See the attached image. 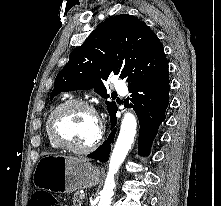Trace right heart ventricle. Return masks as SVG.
Returning a JSON list of instances; mask_svg holds the SVG:
<instances>
[{
	"instance_id": "e07e8e85",
	"label": "right heart ventricle",
	"mask_w": 221,
	"mask_h": 206,
	"mask_svg": "<svg viewBox=\"0 0 221 206\" xmlns=\"http://www.w3.org/2000/svg\"><path fill=\"white\" fill-rule=\"evenodd\" d=\"M45 129H46V134H47V137H48V140H49V143L52 147L54 148H57V146L50 140L49 138V135H48V132H47V122H46V126H45Z\"/></svg>"
}]
</instances>
